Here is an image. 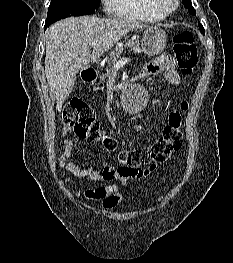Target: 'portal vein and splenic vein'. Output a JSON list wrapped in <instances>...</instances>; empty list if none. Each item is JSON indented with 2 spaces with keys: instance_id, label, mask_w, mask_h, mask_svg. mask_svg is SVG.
Masks as SVG:
<instances>
[{
  "instance_id": "obj_1",
  "label": "portal vein and splenic vein",
  "mask_w": 233,
  "mask_h": 263,
  "mask_svg": "<svg viewBox=\"0 0 233 263\" xmlns=\"http://www.w3.org/2000/svg\"><path fill=\"white\" fill-rule=\"evenodd\" d=\"M96 44H97V42H92L91 45H92V47H95ZM133 51L136 52V53H139L140 49L139 48H134ZM124 61H125V59H121V60L117 61V63L115 64L114 68L120 67V65H122L124 63Z\"/></svg>"
}]
</instances>
